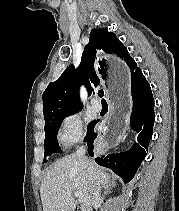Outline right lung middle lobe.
<instances>
[{
  "mask_svg": "<svg viewBox=\"0 0 179 211\" xmlns=\"http://www.w3.org/2000/svg\"><path fill=\"white\" fill-rule=\"evenodd\" d=\"M78 112V111H76ZM76 112H72L69 114L65 115H60L56 116L49 121L45 123V141H44V146H45V154H44V162H47L45 159L48 155L53 154V153H59L61 152V149L59 147L58 141H57V132L60 127L61 122L63 119L68 117L69 115H72ZM95 125V121L91 122L88 126V131H87V136L89 133L92 131L93 127ZM85 137V139L87 138Z\"/></svg>",
  "mask_w": 179,
  "mask_h": 211,
  "instance_id": "dd1d6c3e",
  "label": "right lung middle lobe"
}]
</instances>
